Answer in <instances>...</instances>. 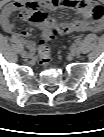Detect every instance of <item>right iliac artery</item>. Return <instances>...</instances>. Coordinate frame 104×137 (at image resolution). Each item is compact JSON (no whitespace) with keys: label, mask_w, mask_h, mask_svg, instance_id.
I'll use <instances>...</instances> for the list:
<instances>
[{"label":"right iliac artery","mask_w":104,"mask_h":137,"mask_svg":"<svg viewBox=\"0 0 104 137\" xmlns=\"http://www.w3.org/2000/svg\"><path fill=\"white\" fill-rule=\"evenodd\" d=\"M20 47L22 50H26V47H24V44H20Z\"/></svg>","instance_id":"1"}]
</instances>
